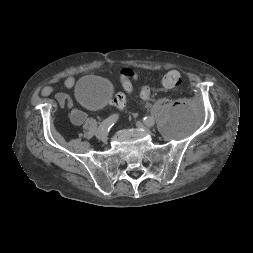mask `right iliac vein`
<instances>
[{
  "mask_svg": "<svg viewBox=\"0 0 253 253\" xmlns=\"http://www.w3.org/2000/svg\"><path fill=\"white\" fill-rule=\"evenodd\" d=\"M96 137L99 139V140H102V141H106L107 138H108V134L106 132V130H102V129H98L97 133H96Z\"/></svg>",
  "mask_w": 253,
  "mask_h": 253,
  "instance_id": "63e3f726",
  "label": "right iliac vein"
}]
</instances>
